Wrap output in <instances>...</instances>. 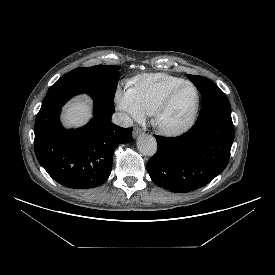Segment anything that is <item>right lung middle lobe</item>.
I'll list each match as a JSON object with an SVG mask.
<instances>
[{"label":"right lung middle lobe","instance_id":"dd1d6c3e","mask_svg":"<svg viewBox=\"0 0 275 275\" xmlns=\"http://www.w3.org/2000/svg\"><path fill=\"white\" fill-rule=\"evenodd\" d=\"M119 69V66L106 65L74 69L52 85L46 96L65 92H89L113 103Z\"/></svg>","mask_w":275,"mask_h":275}]
</instances>
